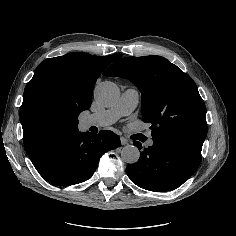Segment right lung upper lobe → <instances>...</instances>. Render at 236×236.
<instances>
[{"mask_svg": "<svg viewBox=\"0 0 236 236\" xmlns=\"http://www.w3.org/2000/svg\"><path fill=\"white\" fill-rule=\"evenodd\" d=\"M120 57L121 55L100 57L87 53H68L44 60L25 87L21 107H24L35 91L50 90L60 94L80 114L91 106L93 86L98 76ZM20 120L25 150L32 163L37 162L55 142L78 131L69 130L57 138L43 140L30 134L23 119Z\"/></svg>", "mask_w": 236, "mask_h": 236, "instance_id": "right-lung-upper-lobe-1", "label": "right lung upper lobe"}]
</instances>
